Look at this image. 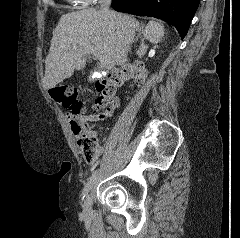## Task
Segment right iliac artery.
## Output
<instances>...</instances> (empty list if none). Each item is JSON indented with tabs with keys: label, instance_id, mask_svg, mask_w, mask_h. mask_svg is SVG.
I'll use <instances>...</instances> for the list:
<instances>
[{
	"label": "right iliac artery",
	"instance_id": "right-iliac-artery-1",
	"mask_svg": "<svg viewBox=\"0 0 240 238\" xmlns=\"http://www.w3.org/2000/svg\"><path fill=\"white\" fill-rule=\"evenodd\" d=\"M96 175H97V172H96V171L93 172L92 176L90 177V179L88 180L87 184L85 185V187H84V189H83V195H84V196H85V195L89 192V190L91 189L92 184H93V182H94V180H95V178H96ZM84 196H83V197H84Z\"/></svg>",
	"mask_w": 240,
	"mask_h": 238
}]
</instances>
